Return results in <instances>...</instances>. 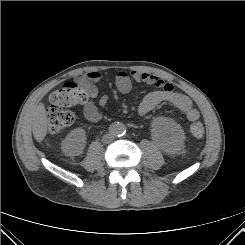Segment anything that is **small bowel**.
I'll list each match as a JSON object with an SVG mask.
<instances>
[{
    "label": "small bowel",
    "mask_w": 245,
    "mask_h": 245,
    "mask_svg": "<svg viewBox=\"0 0 245 245\" xmlns=\"http://www.w3.org/2000/svg\"><path fill=\"white\" fill-rule=\"evenodd\" d=\"M76 80L90 93V98L83 105L84 117L91 122L100 121L102 119V114L99 111L97 104L105 106L108 103V97L106 95L102 96L98 100V103L96 102L98 94L97 83L101 80L100 73L91 71L85 75L78 76ZM133 82L153 85L157 88V90L148 93L141 100L137 107L138 116L143 117L161 103L168 102L182 111L186 115L188 121L195 122L199 119L200 113L193 106L191 99L188 96L175 91L171 83L164 81L160 77L139 71H131L130 73L119 71L116 74L115 84L117 90L122 94L131 91Z\"/></svg>",
    "instance_id": "c3829d8e"
}]
</instances>
